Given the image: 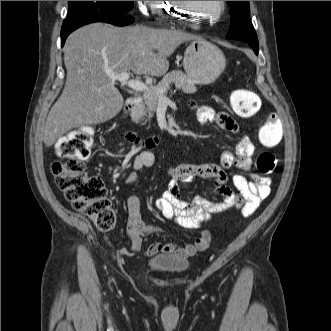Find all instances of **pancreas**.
<instances>
[{"label": "pancreas", "mask_w": 331, "mask_h": 331, "mask_svg": "<svg viewBox=\"0 0 331 331\" xmlns=\"http://www.w3.org/2000/svg\"><path fill=\"white\" fill-rule=\"evenodd\" d=\"M174 84L177 89H181L185 93H195L197 88L195 83L185 75L182 71L174 70L164 76V78L155 86L150 87L143 94V103L134 107L131 111L132 121L138 123L143 121L148 114L149 119L157 109L159 97L157 90H164V95L169 90L170 86Z\"/></svg>", "instance_id": "obj_1"}]
</instances>
